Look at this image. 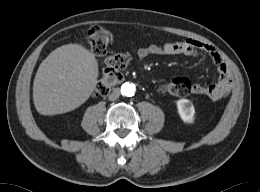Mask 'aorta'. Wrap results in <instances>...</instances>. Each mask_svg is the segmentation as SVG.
<instances>
[{
    "label": "aorta",
    "mask_w": 260,
    "mask_h": 192,
    "mask_svg": "<svg viewBox=\"0 0 260 192\" xmlns=\"http://www.w3.org/2000/svg\"><path fill=\"white\" fill-rule=\"evenodd\" d=\"M136 91L135 85L133 83L126 82L121 86V94L126 97L134 96Z\"/></svg>",
    "instance_id": "aorta-1"
}]
</instances>
